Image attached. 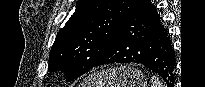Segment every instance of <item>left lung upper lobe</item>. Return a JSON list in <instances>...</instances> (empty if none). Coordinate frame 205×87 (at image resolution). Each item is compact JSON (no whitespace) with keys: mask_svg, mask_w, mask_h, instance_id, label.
<instances>
[{"mask_svg":"<svg viewBox=\"0 0 205 87\" xmlns=\"http://www.w3.org/2000/svg\"><path fill=\"white\" fill-rule=\"evenodd\" d=\"M136 0H79L58 32L49 54V71L72 81L95 67Z\"/></svg>","mask_w":205,"mask_h":87,"instance_id":"obj_1","label":"left lung upper lobe"}]
</instances>
